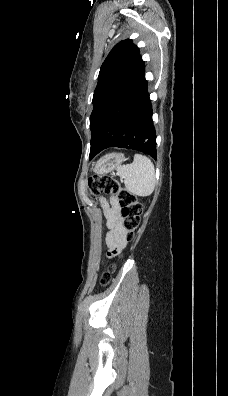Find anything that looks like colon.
I'll return each mask as SVG.
<instances>
[{
	"instance_id": "1",
	"label": "colon",
	"mask_w": 228,
	"mask_h": 396,
	"mask_svg": "<svg viewBox=\"0 0 228 396\" xmlns=\"http://www.w3.org/2000/svg\"><path fill=\"white\" fill-rule=\"evenodd\" d=\"M90 194L96 197L100 194H109L117 197L121 207V224L126 232L127 240L134 237V233L139 227L142 206L137 198L128 192L118 180L108 175H95L88 179ZM119 254V250L110 249L107 253L109 258ZM114 266H110L108 272L103 276L102 283L107 284L110 272Z\"/></svg>"
}]
</instances>
